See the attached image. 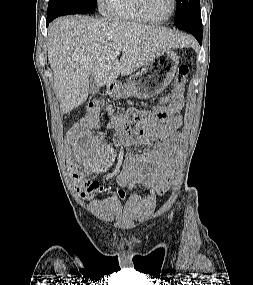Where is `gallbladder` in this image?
I'll use <instances>...</instances> for the list:
<instances>
[{"label": "gallbladder", "mask_w": 253, "mask_h": 285, "mask_svg": "<svg viewBox=\"0 0 253 285\" xmlns=\"http://www.w3.org/2000/svg\"><path fill=\"white\" fill-rule=\"evenodd\" d=\"M99 91V87L95 82V79L92 75L89 77V93L94 95L97 94Z\"/></svg>", "instance_id": "obj_1"}]
</instances>
